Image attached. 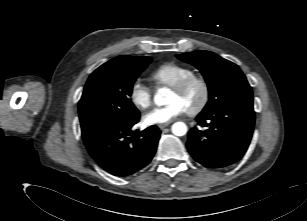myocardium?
Segmentation results:
<instances>
[{
    "instance_id": "obj_1",
    "label": "myocardium",
    "mask_w": 307,
    "mask_h": 221,
    "mask_svg": "<svg viewBox=\"0 0 307 221\" xmlns=\"http://www.w3.org/2000/svg\"><path fill=\"white\" fill-rule=\"evenodd\" d=\"M194 84L200 86L202 95L199 103L195 107L186 109L187 114L190 116L199 115L207 107L211 95V89L208 81L203 76L192 74L171 86V90L182 93Z\"/></svg>"
}]
</instances>
